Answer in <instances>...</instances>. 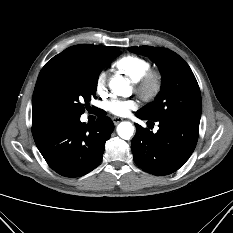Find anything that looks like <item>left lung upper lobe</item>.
Segmentation results:
<instances>
[{"instance_id":"1","label":"left lung upper lobe","mask_w":233,"mask_h":233,"mask_svg":"<svg viewBox=\"0 0 233 233\" xmlns=\"http://www.w3.org/2000/svg\"><path fill=\"white\" fill-rule=\"evenodd\" d=\"M129 51L148 56L162 73L161 91L156 99L137 112L152 121L174 117H201V94L189 65L175 52L160 47H130Z\"/></svg>"}]
</instances>
